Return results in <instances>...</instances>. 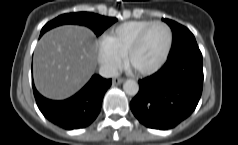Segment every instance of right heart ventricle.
I'll return each instance as SVG.
<instances>
[{"label":"right heart ventricle","mask_w":238,"mask_h":145,"mask_svg":"<svg viewBox=\"0 0 238 145\" xmlns=\"http://www.w3.org/2000/svg\"><path fill=\"white\" fill-rule=\"evenodd\" d=\"M151 22V20H132L117 25L103 34L102 42L120 57H124L137 35Z\"/></svg>","instance_id":"1"}]
</instances>
